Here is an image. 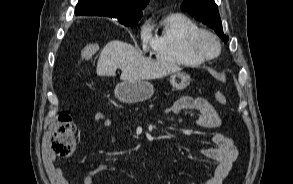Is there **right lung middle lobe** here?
Returning a JSON list of instances; mask_svg holds the SVG:
<instances>
[{"mask_svg":"<svg viewBox=\"0 0 293 184\" xmlns=\"http://www.w3.org/2000/svg\"><path fill=\"white\" fill-rule=\"evenodd\" d=\"M137 22H138V20H131V21L121 22V24H124L125 26H131V25H134Z\"/></svg>","mask_w":293,"mask_h":184,"instance_id":"dd1d6c3e","label":"right lung middle lobe"}]
</instances>
